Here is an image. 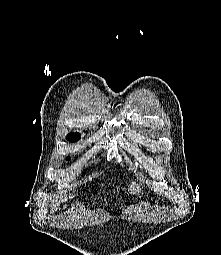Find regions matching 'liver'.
Segmentation results:
<instances>
[{
  "instance_id": "1",
  "label": "liver",
  "mask_w": 221,
  "mask_h": 255,
  "mask_svg": "<svg viewBox=\"0 0 221 255\" xmlns=\"http://www.w3.org/2000/svg\"><path fill=\"white\" fill-rule=\"evenodd\" d=\"M139 191V187L137 186V184L135 182H131L130 184V188H129V192L130 193H133V194H136L137 192ZM70 196H68L67 194H62L61 196L59 197H56L53 201H52V204L50 205L51 207V211H56L60 204L62 202H65L67 201V199L69 198Z\"/></svg>"
}]
</instances>
